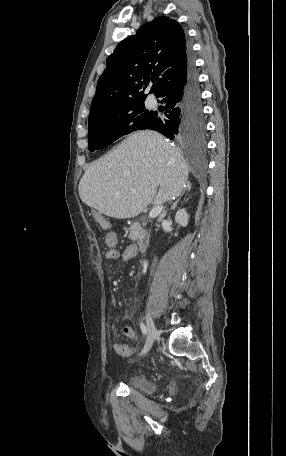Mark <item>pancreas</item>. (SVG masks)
<instances>
[{
    "label": "pancreas",
    "mask_w": 286,
    "mask_h": 456,
    "mask_svg": "<svg viewBox=\"0 0 286 456\" xmlns=\"http://www.w3.org/2000/svg\"><path fill=\"white\" fill-rule=\"evenodd\" d=\"M129 239L131 241H138L141 237V228L138 223L132 224L129 228Z\"/></svg>",
    "instance_id": "pancreas-1"
}]
</instances>
